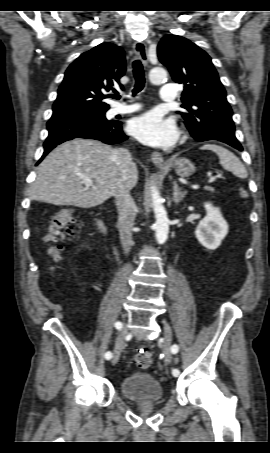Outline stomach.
Instances as JSON below:
<instances>
[{
    "mask_svg": "<svg viewBox=\"0 0 270 453\" xmlns=\"http://www.w3.org/2000/svg\"><path fill=\"white\" fill-rule=\"evenodd\" d=\"M172 166L175 168V172L179 176L188 177L195 172L194 164L187 158H178L174 160Z\"/></svg>",
    "mask_w": 270,
    "mask_h": 453,
    "instance_id": "0dacf381",
    "label": "stomach"
}]
</instances>
